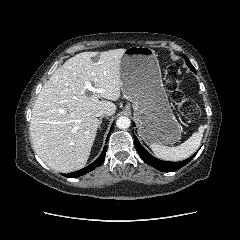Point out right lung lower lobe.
Instances as JSON below:
<instances>
[{"mask_svg":"<svg viewBox=\"0 0 240 240\" xmlns=\"http://www.w3.org/2000/svg\"><path fill=\"white\" fill-rule=\"evenodd\" d=\"M113 127H114V125L111 126L110 133H111ZM107 139H108V137H107ZM106 151H107V147H104L101 155L92 164L88 165L87 167H85L79 171L65 174L64 176L69 177V178H74V177H78L80 175L86 174L87 172L94 170L96 167H99L104 162Z\"/></svg>","mask_w":240,"mask_h":240,"instance_id":"1","label":"right lung lower lobe"}]
</instances>
